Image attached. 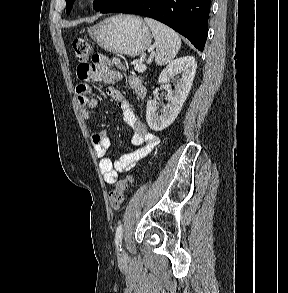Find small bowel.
<instances>
[{
    "label": "small bowel",
    "instance_id": "1",
    "mask_svg": "<svg viewBox=\"0 0 288 293\" xmlns=\"http://www.w3.org/2000/svg\"><path fill=\"white\" fill-rule=\"evenodd\" d=\"M124 70L125 66L122 61L119 59L111 60L103 54H94L91 64L78 65L77 77L82 82L77 86L76 90L81 113L86 119L91 118L92 110L98 104L97 99L90 95L88 81L111 84L122 79ZM127 82L135 96L139 100H144L147 90L141 79L136 76H129ZM107 93L123 110V119L133 131L131 142L137 147L134 151L122 155L113 162L106 155L111 144L107 133L104 130H99L91 134L92 144L97 156L100 158V171L105 182L112 184L118 179L119 173L129 171L141 159L148 156L158 145L159 138L147 129L137 112L131 108L129 101L123 97L120 91L109 87Z\"/></svg>",
    "mask_w": 288,
    "mask_h": 293
}]
</instances>
